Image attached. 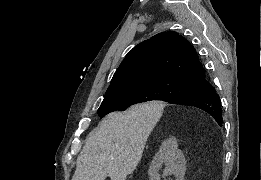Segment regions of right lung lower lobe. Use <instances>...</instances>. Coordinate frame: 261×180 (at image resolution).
<instances>
[{"label": "right lung lower lobe", "instance_id": "1", "mask_svg": "<svg viewBox=\"0 0 261 180\" xmlns=\"http://www.w3.org/2000/svg\"><path fill=\"white\" fill-rule=\"evenodd\" d=\"M168 102L200 108L211 115L220 126L223 123L220 97L207 79L201 83L198 91L175 97Z\"/></svg>", "mask_w": 261, "mask_h": 180}]
</instances>
